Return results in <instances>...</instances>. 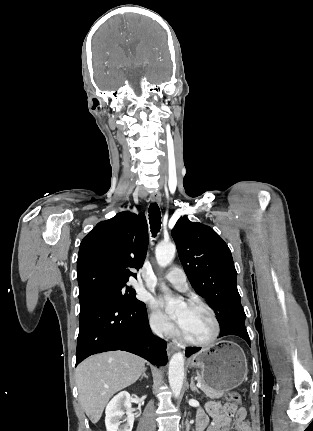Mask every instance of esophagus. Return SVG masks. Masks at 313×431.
<instances>
[{
    "mask_svg": "<svg viewBox=\"0 0 313 431\" xmlns=\"http://www.w3.org/2000/svg\"><path fill=\"white\" fill-rule=\"evenodd\" d=\"M150 200L152 201V202H160L161 201V196H160V194L159 193H152V194H150ZM178 349V347L175 345V344H173V343H168V345H167V351L169 352V353H173V352H175L176 350Z\"/></svg>",
    "mask_w": 313,
    "mask_h": 431,
    "instance_id": "1",
    "label": "esophagus"
}]
</instances>
